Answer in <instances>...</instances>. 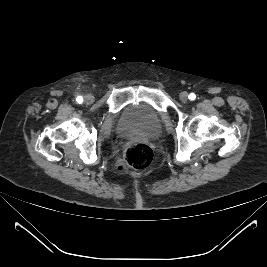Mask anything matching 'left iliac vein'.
<instances>
[{"instance_id":"obj_1","label":"left iliac vein","mask_w":267,"mask_h":267,"mask_svg":"<svg viewBox=\"0 0 267 267\" xmlns=\"http://www.w3.org/2000/svg\"><path fill=\"white\" fill-rule=\"evenodd\" d=\"M179 98L182 102H187L188 101V93L187 92H181L179 95Z\"/></svg>"}]
</instances>
